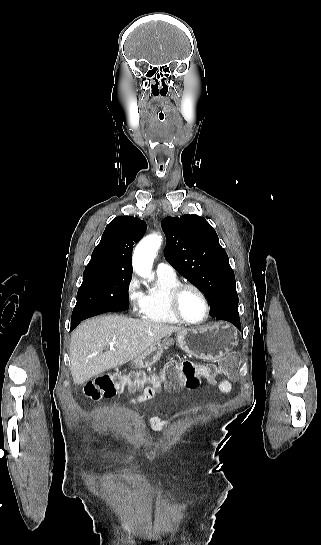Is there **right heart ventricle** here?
I'll use <instances>...</instances> for the list:
<instances>
[{"mask_svg":"<svg viewBox=\"0 0 321 545\" xmlns=\"http://www.w3.org/2000/svg\"><path fill=\"white\" fill-rule=\"evenodd\" d=\"M179 283L180 281L177 277L158 274L154 288L144 297L139 313L141 319L151 324H176L166 307V293Z\"/></svg>","mask_w":321,"mask_h":545,"instance_id":"e07e8e85","label":"right heart ventricle"}]
</instances>
